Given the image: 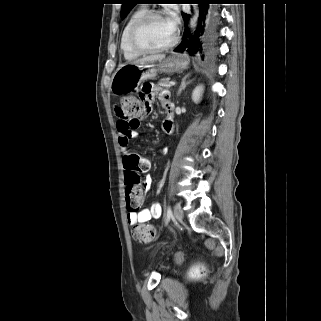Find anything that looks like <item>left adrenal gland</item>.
Here are the masks:
<instances>
[{
	"instance_id": "obj_1",
	"label": "left adrenal gland",
	"mask_w": 321,
	"mask_h": 321,
	"mask_svg": "<svg viewBox=\"0 0 321 321\" xmlns=\"http://www.w3.org/2000/svg\"><path fill=\"white\" fill-rule=\"evenodd\" d=\"M189 77V74H187L183 79H182V82H181V85L179 87V90H178V95H180L181 91L184 90L186 88V86L191 82H186V79Z\"/></svg>"
}]
</instances>
